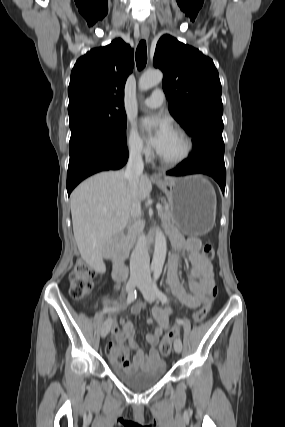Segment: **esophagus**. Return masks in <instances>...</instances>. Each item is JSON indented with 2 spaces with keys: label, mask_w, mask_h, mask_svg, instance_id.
Masks as SVG:
<instances>
[{
  "label": "esophagus",
  "mask_w": 285,
  "mask_h": 427,
  "mask_svg": "<svg viewBox=\"0 0 285 427\" xmlns=\"http://www.w3.org/2000/svg\"><path fill=\"white\" fill-rule=\"evenodd\" d=\"M141 33H142V35H143L145 38H147V37H148V35H149V29H147V28H142V29H141ZM152 178H153V179H159V176H158L157 174H153V175H152Z\"/></svg>",
  "instance_id": "34e87169"
}]
</instances>
